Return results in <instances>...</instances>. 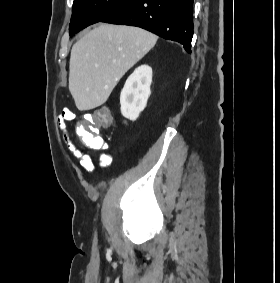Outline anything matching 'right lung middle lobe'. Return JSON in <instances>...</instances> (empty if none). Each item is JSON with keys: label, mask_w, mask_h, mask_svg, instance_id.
Here are the masks:
<instances>
[{"label": "right lung middle lobe", "mask_w": 280, "mask_h": 283, "mask_svg": "<svg viewBox=\"0 0 280 283\" xmlns=\"http://www.w3.org/2000/svg\"><path fill=\"white\" fill-rule=\"evenodd\" d=\"M132 0H74L70 36L85 27L101 22L115 11L130 3Z\"/></svg>", "instance_id": "1"}]
</instances>
